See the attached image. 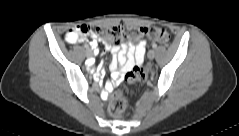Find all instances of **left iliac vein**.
Listing matches in <instances>:
<instances>
[{"label":"left iliac vein","instance_id":"1","mask_svg":"<svg viewBox=\"0 0 239 136\" xmlns=\"http://www.w3.org/2000/svg\"><path fill=\"white\" fill-rule=\"evenodd\" d=\"M147 56L149 59H153L155 57V51L149 50Z\"/></svg>","mask_w":239,"mask_h":136}]
</instances>
